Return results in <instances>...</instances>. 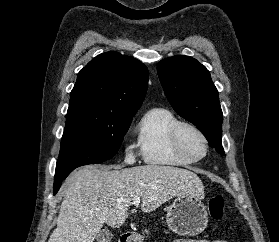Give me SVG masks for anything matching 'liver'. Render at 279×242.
<instances>
[{
	"mask_svg": "<svg viewBox=\"0 0 279 242\" xmlns=\"http://www.w3.org/2000/svg\"><path fill=\"white\" fill-rule=\"evenodd\" d=\"M62 194L57 228L48 242H93L104 224L123 225L134 197L148 213L174 197L203 198L204 186L194 172L177 167L85 166L64 181Z\"/></svg>",
	"mask_w": 279,
	"mask_h": 242,
	"instance_id": "liver-1",
	"label": "liver"
}]
</instances>
